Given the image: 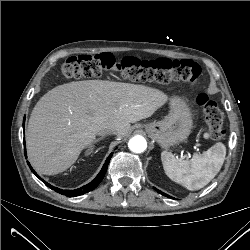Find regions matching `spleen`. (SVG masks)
<instances>
[{
    "label": "spleen",
    "instance_id": "spleen-1",
    "mask_svg": "<svg viewBox=\"0 0 250 250\" xmlns=\"http://www.w3.org/2000/svg\"><path fill=\"white\" fill-rule=\"evenodd\" d=\"M225 156L226 147L218 142L203 154H194L190 160H181L167 151L161 153V160L172 181L194 191L206 186L217 175Z\"/></svg>",
    "mask_w": 250,
    "mask_h": 250
}]
</instances>
